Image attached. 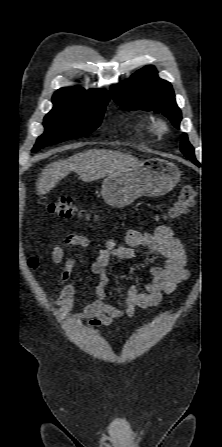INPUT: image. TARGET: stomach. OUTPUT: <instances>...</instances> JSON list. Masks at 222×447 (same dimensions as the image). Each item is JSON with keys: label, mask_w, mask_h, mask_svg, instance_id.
Returning <instances> with one entry per match:
<instances>
[{"label": "stomach", "mask_w": 222, "mask_h": 447, "mask_svg": "<svg viewBox=\"0 0 222 447\" xmlns=\"http://www.w3.org/2000/svg\"><path fill=\"white\" fill-rule=\"evenodd\" d=\"M181 172L167 160L150 158L136 168L108 175L102 183V197L113 207H125L141 196H161L179 182Z\"/></svg>", "instance_id": "stomach-1"}]
</instances>
